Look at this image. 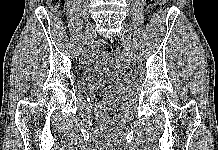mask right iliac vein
<instances>
[{
	"label": "right iliac vein",
	"instance_id": "obj_1",
	"mask_svg": "<svg viewBox=\"0 0 218 150\" xmlns=\"http://www.w3.org/2000/svg\"><path fill=\"white\" fill-rule=\"evenodd\" d=\"M93 34H94V25L92 23H89L84 31L82 37V43L86 44L93 37Z\"/></svg>",
	"mask_w": 218,
	"mask_h": 150
}]
</instances>
